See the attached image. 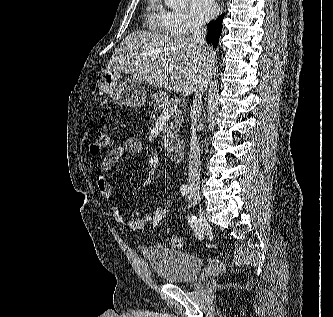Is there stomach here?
<instances>
[{"label":"stomach","instance_id":"obj_1","mask_svg":"<svg viewBox=\"0 0 333 317\" xmlns=\"http://www.w3.org/2000/svg\"><path fill=\"white\" fill-rule=\"evenodd\" d=\"M120 73H104L97 81L100 91L120 106L140 107L146 102V90L140 80L130 77L120 82Z\"/></svg>","mask_w":333,"mask_h":317}]
</instances>
